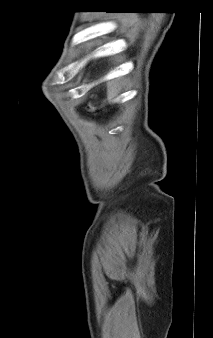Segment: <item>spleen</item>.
Returning a JSON list of instances; mask_svg holds the SVG:
<instances>
[{"label":"spleen","instance_id":"1","mask_svg":"<svg viewBox=\"0 0 213 338\" xmlns=\"http://www.w3.org/2000/svg\"><path fill=\"white\" fill-rule=\"evenodd\" d=\"M112 84H113V82L108 83V86H109V89H110V97H114L116 95V92H115L114 88L112 87Z\"/></svg>","mask_w":213,"mask_h":338}]
</instances>
